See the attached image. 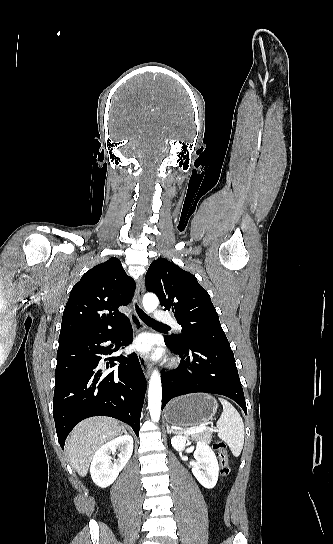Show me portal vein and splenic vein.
<instances>
[{"label":"portal vein and splenic vein","instance_id":"18ae733b","mask_svg":"<svg viewBox=\"0 0 333 544\" xmlns=\"http://www.w3.org/2000/svg\"><path fill=\"white\" fill-rule=\"evenodd\" d=\"M207 429L208 428H207L206 424H203V425H200L198 427L192 428V429L186 431L185 433H198V432L205 431Z\"/></svg>","mask_w":333,"mask_h":544}]
</instances>
